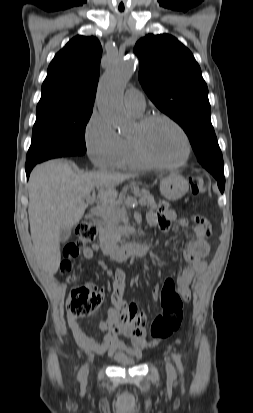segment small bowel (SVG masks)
<instances>
[{
	"label": "small bowel",
	"mask_w": 253,
	"mask_h": 413,
	"mask_svg": "<svg viewBox=\"0 0 253 413\" xmlns=\"http://www.w3.org/2000/svg\"><path fill=\"white\" fill-rule=\"evenodd\" d=\"M177 214L170 209L166 203H161L156 212L147 215L150 226L158 227L164 233L168 232L171 225L177 221ZM192 238L181 249L182 255L187 262V266L177 275L176 281L179 286V293L185 301L191 298L190 284L194 277L201 273L207 266L206 257L210 250L208 238L211 234L210 226L206 219L201 216L193 218ZM181 225L186 224V220L180 221ZM103 254L97 244L83 249L86 259H93L97 254ZM175 259L176 256L174 255ZM98 266L110 278L113 286L111 296L112 308L106 313L105 319L99 324V329L105 333L101 340L88 335L84 327L79 323L78 318L70 314L67 315L68 325L77 343L85 350L97 354L127 353L133 356H140L147 347L157 344L155 340H149L146 335L147 316L138 314L137 305L132 303L127 305L123 301V294L126 288V273L118 268L112 270L106 266L102 259H98ZM160 287L155 285L151 291V298L157 301ZM120 335L129 339L127 345L120 339Z\"/></svg>",
	"instance_id": "small-bowel-1"
}]
</instances>
